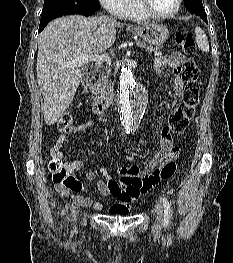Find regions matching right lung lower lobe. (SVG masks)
<instances>
[{
	"instance_id": "obj_1",
	"label": "right lung lower lobe",
	"mask_w": 233,
	"mask_h": 263,
	"mask_svg": "<svg viewBox=\"0 0 233 263\" xmlns=\"http://www.w3.org/2000/svg\"><path fill=\"white\" fill-rule=\"evenodd\" d=\"M96 11L97 10H92V9L87 8L85 6H81L80 9H78L76 14L89 16V15H92L93 13H95ZM48 22H50V21H47V22L42 21V22H40L39 32H41L44 29V27L48 24Z\"/></svg>"
}]
</instances>
